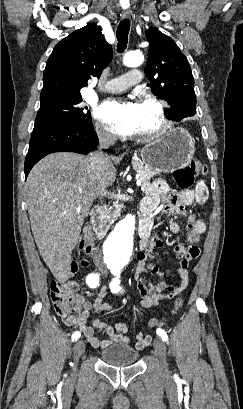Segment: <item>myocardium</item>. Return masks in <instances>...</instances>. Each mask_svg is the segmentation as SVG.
Instances as JSON below:
<instances>
[{
    "label": "myocardium",
    "instance_id": "myocardium-1",
    "mask_svg": "<svg viewBox=\"0 0 243 409\" xmlns=\"http://www.w3.org/2000/svg\"><path fill=\"white\" fill-rule=\"evenodd\" d=\"M139 100L140 102L149 103L154 106V108L156 109L159 123L158 126L155 127L154 129L138 133L136 134V136L140 139H151L159 136L160 134L168 130L170 126V120L167 115L166 103L150 92L141 93L139 96Z\"/></svg>",
    "mask_w": 243,
    "mask_h": 409
}]
</instances>
